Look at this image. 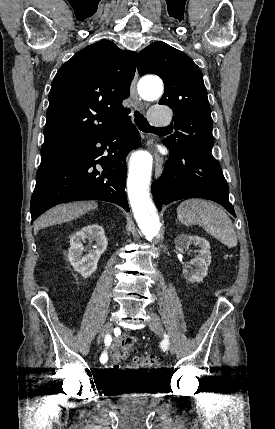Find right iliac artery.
I'll list each match as a JSON object with an SVG mask.
<instances>
[{"label": "right iliac artery", "instance_id": "82829eb1", "mask_svg": "<svg viewBox=\"0 0 275 429\" xmlns=\"http://www.w3.org/2000/svg\"><path fill=\"white\" fill-rule=\"evenodd\" d=\"M105 346H109L110 344H111V342H112V338H111V336L108 334V335H106L105 336ZM107 360H108V356H107V353H106V351H104L102 354H101V356H100V362L101 363H106L107 362Z\"/></svg>", "mask_w": 275, "mask_h": 429}]
</instances>
